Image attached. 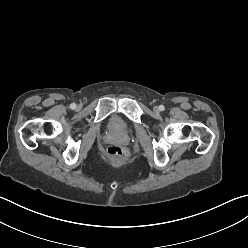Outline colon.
Instances as JSON below:
<instances>
[{"label":"colon","instance_id":"colon-1","mask_svg":"<svg viewBox=\"0 0 248 248\" xmlns=\"http://www.w3.org/2000/svg\"><path fill=\"white\" fill-rule=\"evenodd\" d=\"M107 154L115 163L123 162L126 158V151L119 145H111L107 150Z\"/></svg>","mask_w":248,"mask_h":248}]
</instances>
